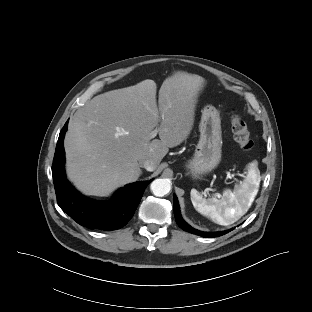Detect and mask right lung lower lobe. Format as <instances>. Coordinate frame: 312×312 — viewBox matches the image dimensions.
<instances>
[{
	"mask_svg": "<svg viewBox=\"0 0 312 312\" xmlns=\"http://www.w3.org/2000/svg\"><path fill=\"white\" fill-rule=\"evenodd\" d=\"M67 124L62 128L54 155L52 175L58 205L78 224L90 229L116 230L132 218L145 188L151 181L131 183L120 188L106 202L93 201L77 192L67 181L64 171L63 140Z\"/></svg>",
	"mask_w": 312,
	"mask_h": 312,
	"instance_id": "obj_1",
	"label": "right lung lower lobe"
}]
</instances>
